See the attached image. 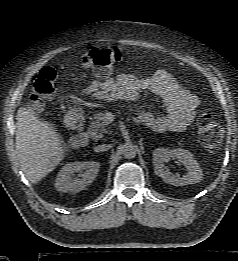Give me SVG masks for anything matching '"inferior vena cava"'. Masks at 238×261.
<instances>
[{
    "instance_id": "1",
    "label": "inferior vena cava",
    "mask_w": 238,
    "mask_h": 261,
    "mask_svg": "<svg viewBox=\"0 0 238 261\" xmlns=\"http://www.w3.org/2000/svg\"><path fill=\"white\" fill-rule=\"evenodd\" d=\"M110 148V145H98L97 147H95V151L96 152H103V151H106Z\"/></svg>"
}]
</instances>
